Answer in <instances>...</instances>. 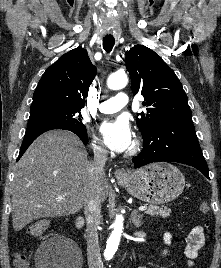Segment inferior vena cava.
<instances>
[{
    "label": "inferior vena cava",
    "instance_id": "602c4592",
    "mask_svg": "<svg viewBox=\"0 0 221 268\" xmlns=\"http://www.w3.org/2000/svg\"><path fill=\"white\" fill-rule=\"evenodd\" d=\"M107 150L94 151L91 165L90 187L84 200V214L87 221V259L89 268H102L101 253L98 242V226L101 220V182L105 177L104 167Z\"/></svg>",
    "mask_w": 221,
    "mask_h": 268
}]
</instances>
